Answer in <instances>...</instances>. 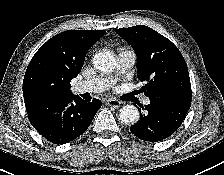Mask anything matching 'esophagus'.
<instances>
[{
	"mask_svg": "<svg viewBox=\"0 0 224 175\" xmlns=\"http://www.w3.org/2000/svg\"><path fill=\"white\" fill-rule=\"evenodd\" d=\"M106 104H107L108 106H111V107H114V108H118V107L121 106L122 102L119 101V100H116V99H108V100L106 101Z\"/></svg>",
	"mask_w": 224,
	"mask_h": 175,
	"instance_id": "obj_1",
	"label": "esophagus"
}]
</instances>
